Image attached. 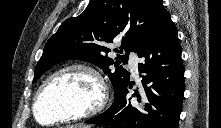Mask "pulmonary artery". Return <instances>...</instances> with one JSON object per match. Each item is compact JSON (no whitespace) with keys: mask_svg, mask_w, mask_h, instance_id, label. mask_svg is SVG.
<instances>
[{"mask_svg":"<svg viewBox=\"0 0 221 128\" xmlns=\"http://www.w3.org/2000/svg\"><path fill=\"white\" fill-rule=\"evenodd\" d=\"M138 57L134 54L129 55L128 57V63H129V68L133 72L135 76L138 75Z\"/></svg>","mask_w":221,"mask_h":128,"instance_id":"1","label":"pulmonary artery"}]
</instances>
